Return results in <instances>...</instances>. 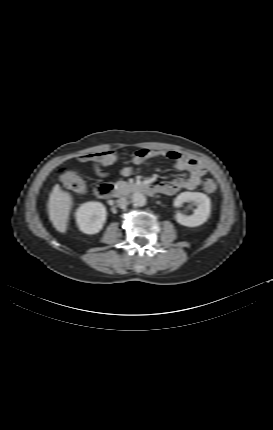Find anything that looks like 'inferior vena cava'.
I'll use <instances>...</instances> for the list:
<instances>
[{
  "mask_svg": "<svg viewBox=\"0 0 273 430\" xmlns=\"http://www.w3.org/2000/svg\"><path fill=\"white\" fill-rule=\"evenodd\" d=\"M118 206L121 208V209H125L126 208V206L128 205V201H127V199L125 198V197H121L120 199H118Z\"/></svg>",
  "mask_w": 273,
  "mask_h": 430,
  "instance_id": "602c4592",
  "label": "inferior vena cava"
}]
</instances>
